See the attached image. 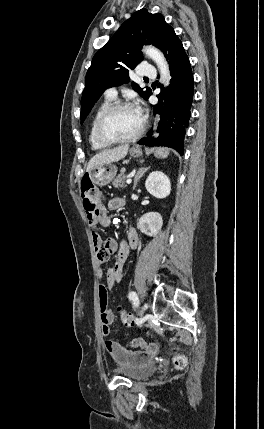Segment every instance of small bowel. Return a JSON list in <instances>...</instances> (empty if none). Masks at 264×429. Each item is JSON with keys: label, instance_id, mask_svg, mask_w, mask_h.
I'll use <instances>...</instances> for the list:
<instances>
[{"label": "small bowel", "instance_id": "obj_1", "mask_svg": "<svg viewBox=\"0 0 264 429\" xmlns=\"http://www.w3.org/2000/svg\"><path fill=\"white\" fill-rule=\"evenodd\" d=\"M124 205V200L119 197L112 198L108 203L109 210H118ZM87 219L90 227L95 228L97 225L109 226L111 218L108 215L107 208L102 206L95 215H88ZM93 246L97 255L98 274L102 276L101 264L104 263L111 254L116 253L115 263L106 272V282L99 285V305L102 334L106 337L104 341L107 352L112 358L122 366H133L146 363L157 352V345L154 343H145L139 350H131L117 341L107 338L110 334V327L114 322V313L108 306L107 291L116 283L120 282L124 264L132 249L138 246V235L134 228H128L125 231V237L121 242L113 238L103 241L97 232L92 233Z\"/></svg>", "mask_w": 264, "mask_h": 429}]
</instances>
